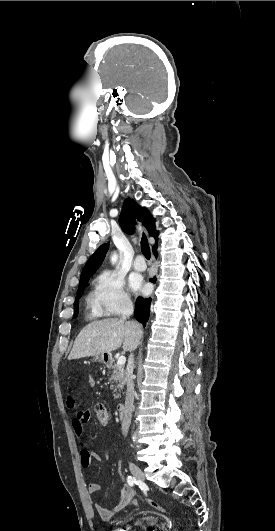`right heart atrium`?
I'll return each mask as SVG.
<instances>
[{"instance_id":"obj_1","label":"right heart atrium","mask_w":275,"mask_h":531,"mask_svg":"<svg viewBox=\"0 0 275 531\" xmlns=\"http://www.w3.org/2000/svg\"><path fill=\"white\" fill-rule=\"evenodd\" d=\"M89 304L97 316H116L125 312L132 301L123 277L112 271L100 273L94 280Z\"/></svg>"}]
</instances>
